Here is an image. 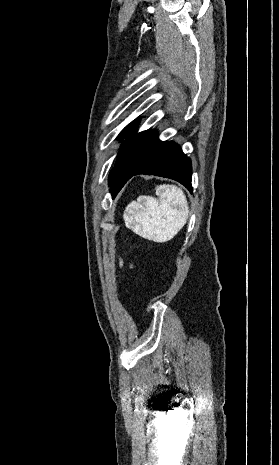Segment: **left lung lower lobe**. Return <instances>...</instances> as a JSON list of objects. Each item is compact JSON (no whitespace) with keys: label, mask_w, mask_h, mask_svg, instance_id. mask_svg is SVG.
<instances>
[{"label":"left lung lower lobe","mask_w":279,"mask_h":465,"mask_svg":"<svg viewBox=\"0 0 279 465\" xmlns=\"http://www.w3.org/2000/svg\"><path fill=\"white\" fill-rule=\"evenodd\" d=\"M191 173V160L179 145L173 141H165L132 176L143 174L171 178L192 192Z\"/></svg>","instance_id":"left-lung-lower-lobe-1"}]
</instances>
